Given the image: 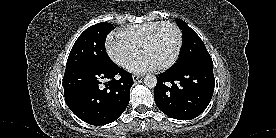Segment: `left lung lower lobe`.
<instances>
[{"label":"left lung lower lobe","mask_w":276,"mask_h":138,"mask_svg":"<svg viewBox=\"0 0 276 138\" xmlns=\"http://www.w3.org/2000/svg\"><path fill=\"white\" fill-rule=\"evenodd\" d=\"M215 86L213 62H203L184 69H169L157 76L154 100L167 116L191 120L210 103Z\"/></svg>","instance_id":"1"}]
</instances>
